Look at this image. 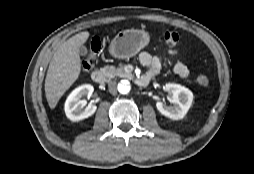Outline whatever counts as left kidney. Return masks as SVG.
<instances>
[{"instance_id":"1","label":"left kidney","mask_w":254,"mask_h":174,"mask_svg":"<svg viewBox=\"0 0 254 174\" xmlns=\"http://www.w3.org/2000/svg\"><path fill=\"white\" fill-rule=\"evenodd\" d=\"M170 101L173 106H167L161 101L156 102L158 111L173 120L184 118L192 105L193 93L186 87L179 84L168 83L165 85Z\"/></svg>"}]
</instances>
